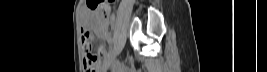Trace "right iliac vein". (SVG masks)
I'll list each match as a JSON object with an SVG mask.
<instances>
[{
	"label": "right iliac vein",
	"mask_w": 267,
	"mask_h": 72,
	"mask_svg": "<svg viewBox=\"0 0 267 72\" xmlns=\"http://www.w3.org/2000/svg\"><path fill=\"white\" fill-rule=\"evenodd\" d=\"M115 55H116V53H113V54L109 57L108 61H107L106 64H105V69H107V68L110 66L111 62H112V61L114 60V58H115Z\"/></svg>",
	"instance_id": "63e3f726"
}]
</instances>
